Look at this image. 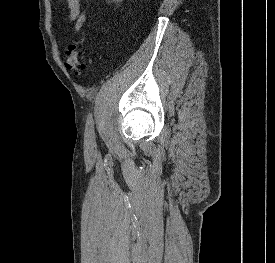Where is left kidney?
<instances>
[{
    "instance_id": "left-kidney-1",
    "label": "left kidney",
    "mask_w": 275,
    "mask_h": 263,
    "mask_svg": "<svg viewBox=\"0 0 275 263\" xmlns=\"http://www.w3.org/2000/svg\"><path fill=\"white\" fill-rule=\"evenodd\" d=\"M113 1H117L118 2V1H122V0H113Z\"/></svg>"
}]
</instances>
